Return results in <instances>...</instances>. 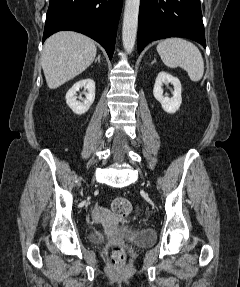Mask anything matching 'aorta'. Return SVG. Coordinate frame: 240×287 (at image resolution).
<instances>
[{
    "instance_id": "aorta-1",
    "label": "aorta",
    "mask_w": 240,
    "mask_h": 287,
    "mask_svg": "<svg viewBox=\"0 0 240 287\" xmlns=\"http://www.w3.org/2000/svg\"><path fill=\"white\" fill-rule=\"evenodd\" d=\"M140 0H126L123 27L122 41L126 52L130 53L134 49L139 15Z\"/></svg>"
}]
</instances>
